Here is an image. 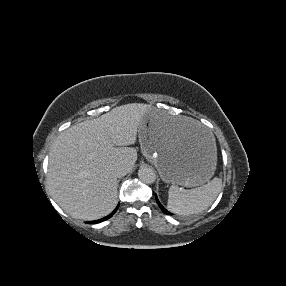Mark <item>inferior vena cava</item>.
Listing matches in <instances>:
<instances>
[{"instance_id":"inferior-vena-cava-1","label":"inferior vena cava","mask_w":286,"mask_h":286,"mask_svg":"<svg viewBox=\"0 0 286 286\" xmlns=\"http://www.w3.org/2000/svg\"><path fill=\"white\" fill-rule=\"evenodd\" d=\"M112 173L115 177L120 178L127 174V168L123 164H116L112 167Z\"/></svg>"}]
</instances>
